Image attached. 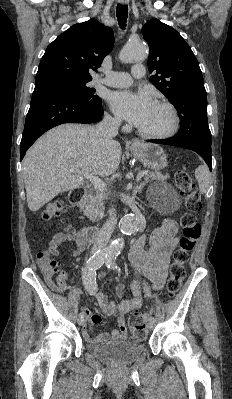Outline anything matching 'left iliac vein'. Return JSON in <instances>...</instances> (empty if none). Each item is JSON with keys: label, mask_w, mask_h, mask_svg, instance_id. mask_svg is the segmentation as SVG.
I'll return each instance as SVG.
<instances>
[{"label": "left iliac vein", "mask_w": 232, "mask_h": 399, "mask_svg": "<svg viewBox=\"0 0 232 399\" xmlns=\"http://www.w3.org/2000/svg\"><path fill=\"white\" fill-rule=\"evenodd\" d=\"M147 329H154V322L150 321L149 324H147Z\"/></svg>", "instance_id": "obj_1"}]
</instances>
